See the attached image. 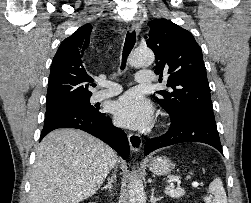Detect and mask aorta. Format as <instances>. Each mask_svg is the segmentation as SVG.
Listing matches in <instances>:
<instances>
[{"label":"aorta","mask_w":251,"mask_h":203,"mask_svg":"<svg viewBox=\"0 0 251 203\" xmlns=\"http://www.w3.org/2000/svg\"><path fill=\"white\" fill-rule=\"evenodd\" d=\"M155 60L152 50L138 48L130 56L128 62L133 67L150 66ZM129 203H146L144 187L140 178L133 174L129 184Z\"/></svg>","instance_id":"aorta-1"}]
</instances>
